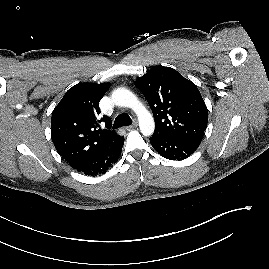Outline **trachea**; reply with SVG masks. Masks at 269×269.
I'll return each mask as SVG.
<instances>
[{"instance_id": "obj_1", "label": "trachea", "mask_w": 269, "mask_h": 269, "mask_svg": "<svg viewBox=\"0 0 269 269\" xmlns=\"http://www.w3.org/2000/svg\"><path fill=\"white\" fill-rule=\"evenodd\" d=\"M131 124H132V119L129 117V115L126 113H122L116 117L114 125H113V129H117L122 126H128Z\"/></svg>"}]
</instances>
